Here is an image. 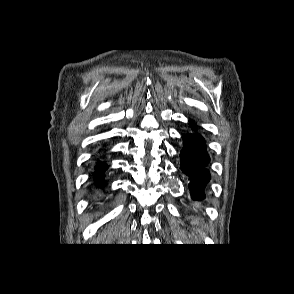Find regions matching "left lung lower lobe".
Wrapping results in <instances>:
<instances>
[{"label":"left lung lower lobe","instance_id":"obj_1","mask_svg":"<svg viewBox=\"0 0 294 294\" xmlns=\"http://www.w3.org/2000/svg\"><path fill=\"white\" fill-rule=\"evenodd\" d=\"M192 128L195 124L190 120ZM183 142L185 144L181 151V169L189 176V189L192 193V198L201 200L205 198L204 187L210 179V173L206 169L209 162V156L206 152L205 142L201 135L197 133H190L183 135Z\"/></svg>","mask_w":294,"mask_h":294}]
</instances>
